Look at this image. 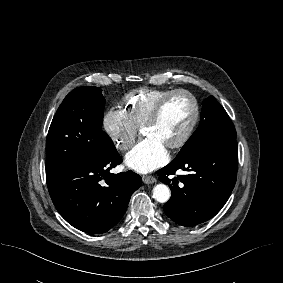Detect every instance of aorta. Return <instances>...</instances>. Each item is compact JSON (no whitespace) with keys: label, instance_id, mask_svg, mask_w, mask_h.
Returning <instances> with one entry per match:
<instances>
[{"label":"aorta","instance_id":"aorta-1","mask_svg":"<svg viewBox=\"0 0 283 283\" xmlns=\"http://www.w3.org/2000/svg\"><path fill=\"white\" fill-rule=\"evenodd\" d=\"M170 196V189L165 184H158L153 188V198L160 203L167 202Z\"/></svg>","mask_w":283,"mask_h":283}]
</instances>
